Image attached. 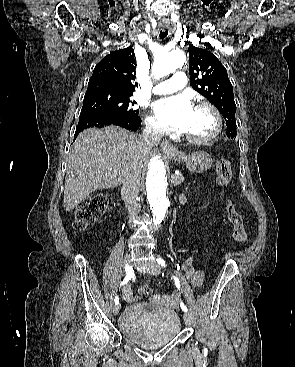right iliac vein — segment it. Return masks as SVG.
<instances>
[{"label":"right iliac vein","instance_id":"right-iliac-vein-1","mask_svg":"<svg viewBox=\"0 0 295 367\" xmlns=\"http://www.w3.org/2000/svg\"><path fill=\"white\" fill-rule=\"evenodd\" d=\"M131 262V255L130 253H126L124 256V264L129 265ZM121 305L120 304H115L113 307V313L114 315H118L119 311H120Z\"/></svg>","mask_w":295,"mask_h":367}]
</instances>
